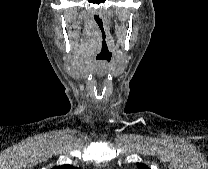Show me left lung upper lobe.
<instances>
[{
  "label": "left lung upper lobe",
  "mask_w": 208,
  "mask_h": 169,
  "mask_svg": "<svg viewBox=\"0 0 208 169\" xmlns=\"http://www.w3.org/2000/svg\"><path fill=\"white\" fill-rule=\"evenodd\" d=\"M138 169H150L147 165L143 163H137Z\"/></svg>",
  "instance_id": "1"
}]
</instances>
